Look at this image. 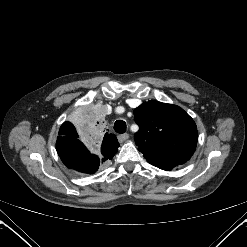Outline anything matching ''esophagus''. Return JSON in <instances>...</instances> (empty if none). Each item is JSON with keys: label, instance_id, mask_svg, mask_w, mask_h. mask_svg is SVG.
I'll return each mask as SVG.
<instances>
[{"label": "esophagus", "instance_id": "34e87169", "mask_svg": "<svg viewBox=\"0 0 247 247\" xmlns=\"http://www.w3.org/2000/svg\"><path fill=\"white\" fill-rule=\"evenodd\" d=\"M128 138H129V135H128L127 133L118 135V140H119L120 142H124V141H126Z\"/></svg>", "mask_w": 247, "mask_h": 247}]
</instances>
